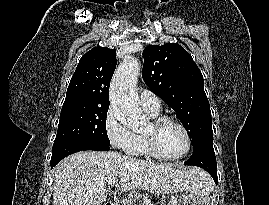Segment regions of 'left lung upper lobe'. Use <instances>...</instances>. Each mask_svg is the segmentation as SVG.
Listing matches in <instances>:
<instances>
[{
    "label": "left lung upper lobe",
    "instance_id": "left-lung-upper-lobe-1",
    "mask_svg": "<svg viewBox=\"0 0 269 205\" xmlns=\"http://www.w3.org/2000/svg\"><path fill=\"white\" fill-rule=\"evenodd\" d=\"M146 85L177 114L194 149L213 138L204 79L192 56L179 44L148 46L143 51Z\"/></svg>",
    "mask_w": 269,
    "mask_h": 205
}]
</instances>
